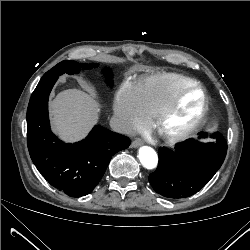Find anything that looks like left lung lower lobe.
<instances>
[{"label":"left lung lower lobe","mask_w":250,"mask_h":250,"mask_svg":"<svg viewBox=\"0 0 250 250\" xmlns=\"http://www.w3.org/2000/svg\"><path fill=\"white\" fill-rule=\"evenodd\" d=\"M216 142L187 140L174 151L159 150V164L149 175L153 189L168 198H184L198 192L221 167L227 152V142L219 134ZM207 137L200 133L198 139Z\"/></svg>","instance_id":"1"}]
</instances>
